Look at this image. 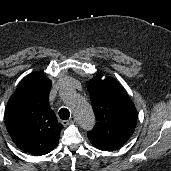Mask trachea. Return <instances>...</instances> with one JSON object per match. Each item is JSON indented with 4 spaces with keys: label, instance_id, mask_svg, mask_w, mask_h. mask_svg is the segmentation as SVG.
I'll return each mask as SVG.
<instances>
[{
    "label": "trachea",
    "instance_id": "obj_1",
    "mask_svg": "<svg viewBox=\"0 0 171 171\" xmlns=\"http://www.w3.org/2000/svg\"><path fill=\"white\" fill-rule=\"evenodd\" d=\"M69 116H70V112H69L68 109H66V108L60 109V111H59V117H60L62 120H67V119H69Z\"/></svg>",
    "mask_w": 171,
    "mask_h": 171
}]
</instances>
